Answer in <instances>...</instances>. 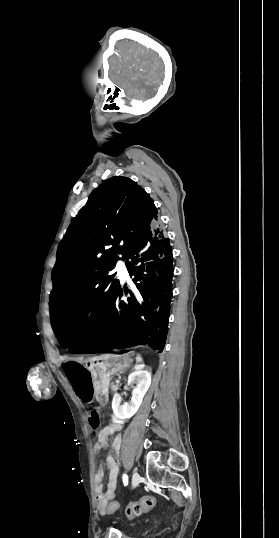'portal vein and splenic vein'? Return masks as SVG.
Segmentation results:
<instances>
[{
	"label": "portal vein and splenic vein",
	"instance_id": "1",
	"mask_svg": "<svg viewBox=\"0 0 279 538\" xmlns=\"http://www.w3.org/2000/svg\"><path fill=\"white\" fill-rule=\"evenodd\" d=\"M119 380H122V377H118V380H114V383H119Z\"/></svg>",
	"mask_w": 279,
	"mask_h": 538
}]
</instances>
